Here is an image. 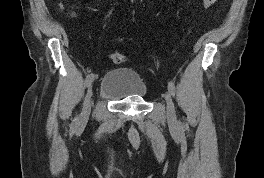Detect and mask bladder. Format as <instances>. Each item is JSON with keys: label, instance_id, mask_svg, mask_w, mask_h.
Instances as JSON below:
<instances>
[{"label": "bladder", "instance_id": "1", "mask_svg": "<svg viewBox=\"0 0 264 178\" xmlns=\"http://www.w3.org/2000/svg\"><path fill=\"white\" fill-rule=\"evenodd\" d=\"M99 94L114 101L144 99L148 94V86L137 71L121 67L104 75Z\"/></svg>", "mask_w": 264, "mask_h": 178}]
</instances>
